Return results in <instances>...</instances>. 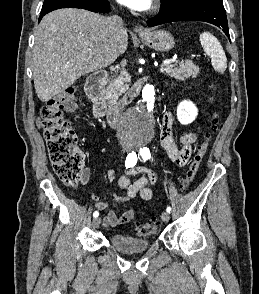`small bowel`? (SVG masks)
Wrapping results in <instances>:
<instances>
[{
	"label": "small bowel",
	"instance_id": "small-bowel-1",
	"mask_svg": "<svg viewBox=\"0 0 259 294\" xmlns=\"http://www.w3.org/2000/svg\"><path fill=\"white\" fill-rule=\"evenodd\" d=\"M75 109V104L67 106L68 111H73ZM38 123L40 124V122ZM172 127L173 115L171 112H167L161 121L160 142L172 162L178 166H183L191 157V145L196 141L197 136L193 132L183 133L180 136V142L182 145L179 147L174 141ZM134 166L126 167L125 174L120 177L117 176L114 170H108L106 172V178L108 181L117 182L118 186L126 191L125 194L116 196V200L120 203H124L137 196L145 201H148L153 197V192L149 185L154 184L157 181V174L152 170ZM130 176L138 177L136 180L132 181ZM89 178L90 169L85 167L82 171L81 182L87 184ZM95 206L97 209L103 211L108 208V203L103 200H95ZM133 216L134 212L132 209L124 211L121 215H117L114 210H109L103 218V225L106 227H114L126 224L133 219Z\"/></svg>",
	"mask_w": 259,
	"mask_h": 294
}]
</instances>
